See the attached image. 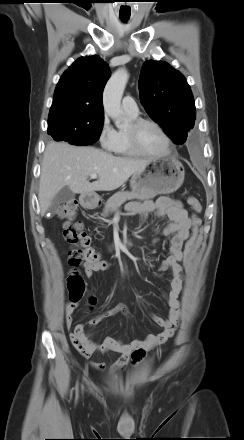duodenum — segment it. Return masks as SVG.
Returning <instances> with one entry per match:
<instances>
[{"instance_id":"1","label":"duodenum","mask_w":244,"mask_h":440,"mask_svg":"<svg viewBox=\"0 0 244 440\" xmlns=\"http://www.w3.org/2000/svg\"><path fill=\"white\" fill-rule=\"evenodd\" d=\"M82 202L86 205V206H93L96 205V199L90 197V196H85L82 198ZM129 245V242H125V243H119L117 246V249L121 250L125 247H127Z\"/></svg>"}]
</instances>
